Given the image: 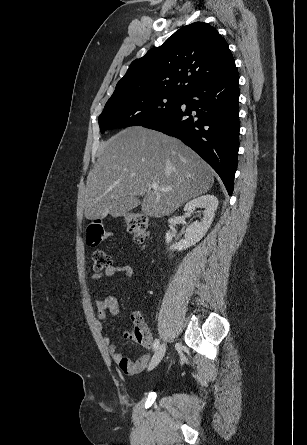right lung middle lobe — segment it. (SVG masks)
<instances>
[{
    "label": "right lung middle lobe",
    "instance_id": "right-lung-middle-lobe-1",
    "mask_svg": "<svg viewBox=\"0 0 307 445\" xmlns=\"http://www.w3.org/2000/svg\"><path fill=\"white\" fill-rule=\"evenodd\" d=\"M183 99L182 95L172 94L111 97L99 116L100 131L142 126L163 117L179 106Z\"/></svg>",
    "mask_w": 307,
    "mask_h": 445
}]
</instances>
